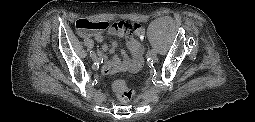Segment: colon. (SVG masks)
Segmentation results:
<instances>
[{
    "mask_svg": "<svg viewBox=\"0 0 255 122\" xmlns=\"http://www.w3.org/2000/svg\"><path fill=\"white\" fill-rule=\"evenodd\" d=\"M75 29L79 35L85 36L95 31H104L109 29L125 30L135 34L141 38L144 36V29L141 24L135 22H116L110 23L108 21H93L89 19H78L75 22ZM113 90L115 91L119 101L123 104L131 103L133 99V92L126 86L122 80H117L113 84Z\"/></svg>",
    "mask_w": 255,
    "mask_h": 122,
    "instance_id": "colon-1",
    "label": "colon"
}]
</instances>
